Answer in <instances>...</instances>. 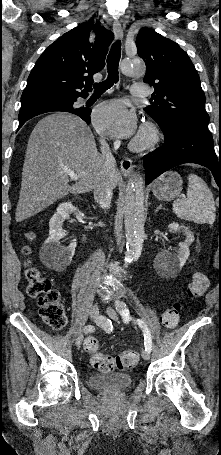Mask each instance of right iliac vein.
<instances>
[{
  "instance_id": "1",
  "label": "right iliac vein",
  "mask_w": 221,
  "mask_h": 455,
  "mask_svg": "<svg viewBox=\"0 0 221 455\" xmlns=\"http://www.w3.org/2000/svg\"><path fill=\"white\" fill-rule=\"evenodd\" d=\"M98 314H99V308H98V305L97 304H94L92 306V309H91V317L93 319H96L98 317ZM83 341V335H79L77 338H76V346L79 347L81 345Z\"/></svg>"
}]
</instances>
